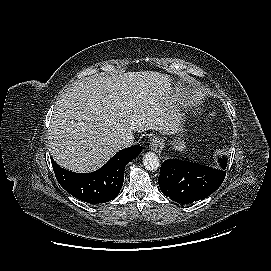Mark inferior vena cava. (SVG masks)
<instances>
[{
	"label": "inferior vena cava",
	"mask_w": 271,
	"mask_h": 271,
	"mask_svg": "<svg viewBox=\"0 0 271 271\" xmlns=\"http://www.w3.org/2000/svg\"><path fill=\"white\" fill-rule=\"evenodd\" d=\"M133 142L134 135L132 133H122L121 135H119L115 143L119 148H126L131 146Z\"/></svg>",
	"instance_id": "1"
}]
</instances>
